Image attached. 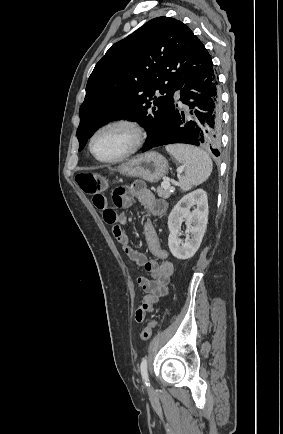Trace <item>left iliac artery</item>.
Here are the masks:
<instances>
[{"label": "left iliac artery", "instance_id": "1", "mask_svg": "<svg viewBox=\"0 0 283 434\" xmlns=\"http://www.w3.org/2000/svg\"><path fill=\"white\" fill-rule=\"evenodd\" d=\"M141 375L142 378L146 384V386H149V379H148V371H147V359L143 358L141 365H140Z\"/></svg>", "mask_w": 283, "mask_h": 434}]
</instances>
